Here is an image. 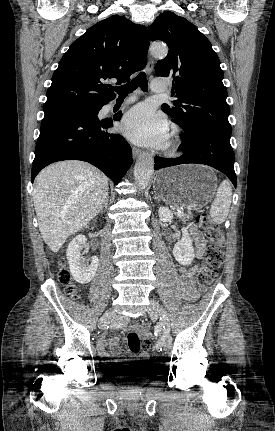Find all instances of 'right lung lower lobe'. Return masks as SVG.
Segmentation results:
<instances>
[{"instance_id":"1","label":"right lung lower lobe","mask_w":275,"mask_h":431,"mask_svg":"<svg viewBox=\"0 0 275 431\" xmlns=\"http://www.w3.org/2000/svg\"><path fill=\"white\" fill-rule=\"evenodd\" d=\"M105 105V104H103ZM103 105L91 106L95 115L73 111L45 113L32 164L31 181L47 165L62 160H82L102 170L118 184L131 166L132 150L119 134L109 133L112 119H99ZM121 111L113 119H121Z\"/></svg>"}]
</instances>
